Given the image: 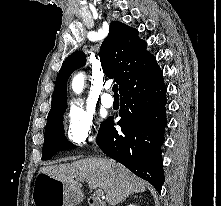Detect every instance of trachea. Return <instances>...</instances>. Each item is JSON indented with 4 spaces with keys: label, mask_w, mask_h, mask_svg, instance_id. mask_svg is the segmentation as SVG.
I'll list each match as a JSON object with an SVG mask.
<instances>
[{
    "label": "trachea",
    "mask_w": 221,
    "mask_h": 206,
    "mask_svg": "<svg viewBox=\"0 0 221 206\" xmlns=\"http://www.w3.org/2000/svg\"><path fill=\"white\" fill-rule=\"evenodd\" d=\"M113 92H114V96H118V85H113V88H112Z\"/></svg>",
    "instance_id": "obj_1"
}]
</instances>
